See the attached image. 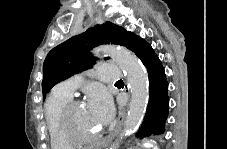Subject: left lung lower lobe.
Wrapping results in <instances>:
<instances>
[{"label":"left lung lower lobe","instance_id":"1","mask_svg":"<svg viewBox=\"0 0 227 149\" xmlns=\"http://www.w3.org/2000/svg\"><path fill=\"white\" fill-rule=\"evenodd\" d=\"M126 47L141 59L149 76V103L137 137L163 133L169 110L168 83L164 68L151 45L134 33H131Z\"/></svg>","mask_w":227,"mask_h":149}]
</instances>
